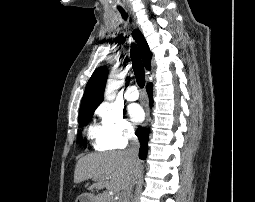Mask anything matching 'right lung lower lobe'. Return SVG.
Instances as JSON below:
<instances>
[{"mask_svg":"<svg viewBox=\"0 0 255 202\" xmlns=\"http://www.w3.org/2000/svg\"><path fill=\"white\" fill-rule=\"evenodd\" d=\"M146 90L149 95L150 106H152V103H153L152 85L148 84L146 87ZM136 135L139 138V142L141 145L140 150H139V157H140V159L145 160L146 156H147V150H148L147 142H148L149 131L146 128L139 127L136 131Z\"/></svg>","mask_w":255,"mask_h":202,"instance_id":"obj_1","label":"right lung lower lobe"}]
</instances>
